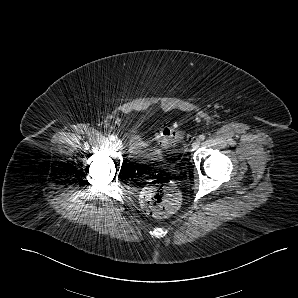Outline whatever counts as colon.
<instances>
[{
    "instance_id": "colon-1",
    "label": "colon",
    "mask_w": 298,
    "mask_h": 298,
    "mask_svg": "<svg viewBox=\"0 0 298 298\" xmlns=\"http://www.w3.org/2000/svg\"><path fill=\"white\" fill-rule=\"evenodd\" d=\"M182 139L178 126L162 128L157 140L160 145L169 147ZM140 201L144 211L154 217H166L175 213L181 204V195L174 183L166 178L151 181L141 192Z\"/></svg>"
}]
</instances>
